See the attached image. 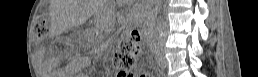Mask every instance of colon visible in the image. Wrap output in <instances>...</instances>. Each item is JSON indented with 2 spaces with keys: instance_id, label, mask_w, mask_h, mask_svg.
<instances>
[{
  "instance_id": "colon-1",
  "label": "colon",
  "mask_w": 258,
  "mask_h": 77,
  "mask_svg": "<svg viewBox=\"0 0 258 77\" xmlns=\"http://www.w3.org/2000/svg\"><path fill=\"white\" fill-rule=\"evenodd\" d=\"M49 31V21L46 14H40L34 28V36L37 41H43ZM140 35L134 33L122 41L113 57V65L117 70H131L134 66V52L139 43Z\"/></svg>"
}]
</instances>
